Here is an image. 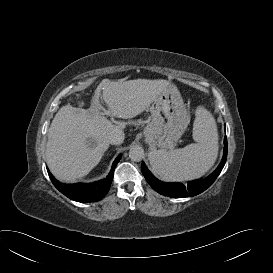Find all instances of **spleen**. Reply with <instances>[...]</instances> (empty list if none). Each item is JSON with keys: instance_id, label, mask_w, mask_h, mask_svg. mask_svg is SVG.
I'll return each instance as SVG.
<instances>
[{"instance_id": "3e777b00", "label": "spleen", "mask_w": 273, "mask_h": 273, "mask_svg": "<svg viewBox=\"0 0 273 273\" xmlns=\"http://www.w3.org/2000/svg\"><path fill=\"white\" fill-rule=\"evenodd\" d=\"M193 139L196 143L184 148L153 151L149 156L153 172L169 181L190 180L205 174L217 158L218 133L215 119L202 106L196 109Z\"/></svg>"}]
</instances>
